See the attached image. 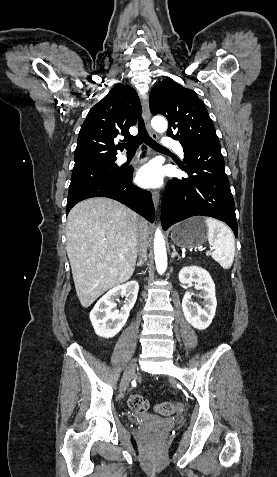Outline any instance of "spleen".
<instances>
[{"label":"spleen","mask_w":277,"mask_h":477,"mask_svg":"<svg viewBox=\"0 0 277 477\" xmlns=\"http://www.w3.org/2000/svg\"><path fill=\"white\" fill-rule=\"evenodd\" d=\"M208 226V242L212 249V258L217 261L223 269H229L234 261L235 241L231 230L219 220L205 218Z\"/></svg>","instance_id":"obj_1"}]
</instances>
